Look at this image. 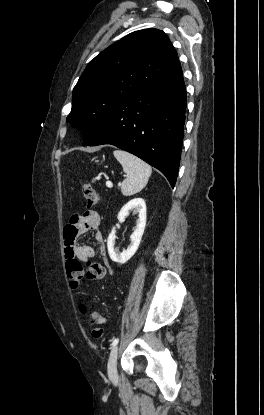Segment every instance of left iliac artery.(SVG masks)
I'll use <instances>...</instances> for the list:
<instances>
[{
    "label": "left iliac artery",
    "mask_w": 264,
    "mask_h": 415,
    "mask_svg": "<svg viewBox=\"0 0 264 415\" xmlns=\"http://www.w3.org/2000/svg\"><path fill=\"white\" fill-rule=\"evenodd\" d=\"M118 342H119V338L114 339L112 344H111L112 347L116 346L118 344Z\"/></svg>",
    "instance_id": "44dca946"
}]
</instances>
